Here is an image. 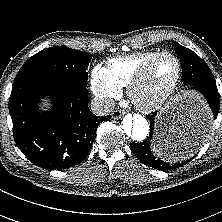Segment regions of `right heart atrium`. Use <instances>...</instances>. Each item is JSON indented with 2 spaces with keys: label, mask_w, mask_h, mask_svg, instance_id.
<instances>
[{
  "label": "right heart atrium",
  "mask_w": 222,
  "mask_h": 222,
  "mask_svg": "<svg viewBox=\"0 0 222 222\" xmlns=\"http://www.w3.org/2000/svg\"><path fill=\"white\" fill-rule=\"evenodd\" d=\"M91 90L105 106H110L117 99L122 90L109 78L105 68L96 66L92 71Z\"/></svg>",
  "instance_id": "obj_1"
}]
</instances>
